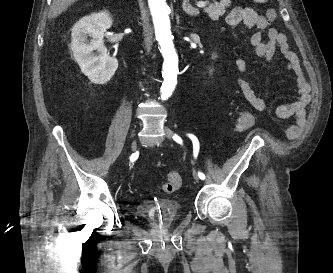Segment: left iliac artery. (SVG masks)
<instances>
[{
  "mask_svg": "<svg viewBox=\"0 0 333 273\" xmlns=\"http://www.w3.org/2000/svg\"><path fill=\"white\" fill-rule=\"evenodd\" d=\"M187 135L192 140V143H193V155H194V158L196 159L197 156H198V153H199V149H200L199 141H198V139H197V137L195 135H193V134H187ZM173 139L175 141H177L178 143H182L181 138L178 135H176V134L173 136ZM198 176L202 180L205 179V175L202 172H198Z\"/></svg>",
  "mask_w": 333,
  "mask_h": 273,
  "instance_id": "44dca946",
  "label": "left iliac artery"
}]
</instances>
